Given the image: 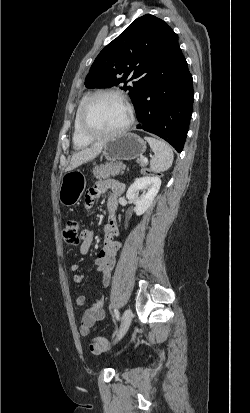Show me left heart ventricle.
Wrapping results in <instances>:
<instances>
[{
    "label": "left heart ventricle",
    "mask_w": 250,
    "mask_h": 413,
    "mask_svg": "<svg viewBox=\"0 0 250 413\" xmlns=\"http://www.w3.org/2000/svg\"><path fill=\"white\" fill-rule=\"evenodd\" d=\"M128 110L125 104L114 96H100L91 105L87 122L98 132L115 131L126 124Z\"/></svg>",
    "instance_id": "obj_1"
}]
</instances>
